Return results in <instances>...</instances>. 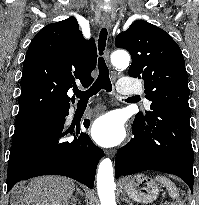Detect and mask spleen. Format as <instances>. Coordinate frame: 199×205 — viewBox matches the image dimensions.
Returning <instances> with one entry per match:
<instances>
[{
    "label": "spleen",
    "mask_w": 199,
    "mask_h": 205,
    "mask_svg": "<svg viewBox=\"0 0 199 205\" xmlns=\"http://www.w3.org/2000/svg\"><path fill=\"white\" fill-rule=\"evenodd\" d=\"M155 179L166 187L169 195L173 199L179 196V192L176 185L170 179L166 178L165 176H156Z\"/></svg>",
    "instance_id": "spleen-1"
}]
</instances>
